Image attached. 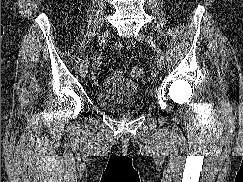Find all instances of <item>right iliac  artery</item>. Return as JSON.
Returning a JSON list of instances; mask_svg holds the SVG:
<instances>
[{
  "mask_svg": "<svg viewBox=\"0 0 243 182\" xmlns=\"http://www.w3.org/2000/svg\"><path fill=\"white\" fill-rule=\"evenodd\" d=\"M102 43H105V40H103ZM102 43H101V44H102ZM101 44H100V45H101Z\"/></svg>",
  "mask_w": 243,
  "mask_h": 182,
  "instance_id": "obj_1",
  "label": "right iliac artery"
}]
</instances>
